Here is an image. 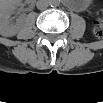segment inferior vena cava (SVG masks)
<instances>
[{
	"mask_svg": "<svg viewBox=\"0 0 103 103\" xmlns=\"http://www.w3.org/2000/svg\"><path fill=\"white\" fill-rule=\"evenodd\" d=\"M49 7V2L47 0L37 1V8L40 10H45Z\"/></svg>",
	"mask_w": 103,
	"mask_h": 103,
	"instance_id": "1",
	"label": "inferior vena cava"
}]
</instances>
